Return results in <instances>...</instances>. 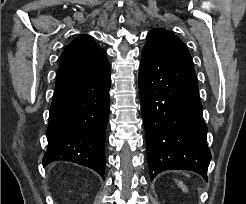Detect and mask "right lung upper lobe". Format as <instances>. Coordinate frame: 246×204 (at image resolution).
<instances>
[{
  "label": "right lung upper lobe",
  "instance_id": "right-lung-upper-lobe-1",
  "mask_svg": "<svg viewBox=\"0 0 246 204\" xmlns=\"http://www.w3.org/2000/svg\"><path fill=\"white\" fill-rule=\"evenodd\" d=\"M108 65L104 50L92 38L80 36L65 48L59 69Z\"/></svg>",
  "mask_w": 246,
  "mask_h": 204
}]
</instances>
